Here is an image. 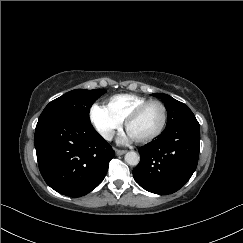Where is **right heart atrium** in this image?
I'll return each instance as SVG.
<instances>
[{
	"label": "right heart atrium",
	"mask_w": 243,
	"mask_h": 243,
	"mask_svg": "<svg viewBox=\"0 0 243 243\" xmlns=\"http://www.w3.org/2000/svg\"><path fill=\"white\" fill-rule=\"evenodd\" d=\"M89 119L96 131L106 140L113 138L122 126V121L106 106L94 104L89 110Z\"/></svg>",
	"instance_id": "right-heart-atrium-1"
}]
</instances>
